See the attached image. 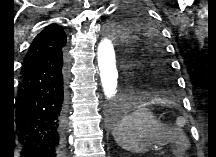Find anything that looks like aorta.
Instances as JSON below:
<instances>
[{"label":"aorta","instance_id":"obj_1","mask_svg":"<svg viewBox=\"0 0 216 157\" xmlns=\"http://www.w3.org/2000/svg\"><path fill=\"white\" fill-rule=\"evenodd\" d=\"M97 59L104 95L107 99H112L117 93L118 71L114 47L109 38L105 37L99 43Z\"/></svg>","mask_w":216,"mask_h":157}]
</instances>
